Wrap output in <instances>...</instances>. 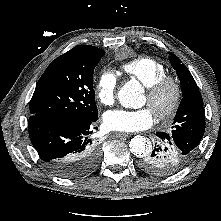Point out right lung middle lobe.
Listing matches in <instances>:
<instances>
[{"mask_svg": "<svg viewBox=\"0 0 221 221\" xmlns=\"http://www.w3.org/2000/svg\"><path fill=\"white\" fill-rule=\"evenodd\" d=\"M104 54L97 47H77L56 58L36 85L31 115L74 120L98 115L92 79Z\"/></svg>", "mask_w": 221, "mask_h": 221, "instance_id": "right-lung-middle-lobe-1", "label": "right lung middle lobe"}]
</instances>
